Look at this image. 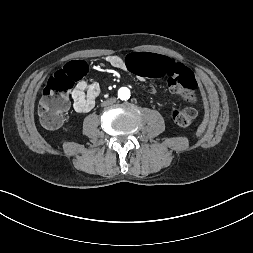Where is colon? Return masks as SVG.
I'll use <instances>...</instances> for the list:
<instances>
[{
	"label": "colon",
	"instance_id": "obj_1",
	"mask_svg": "<svg viewBox=\"0 0 253 253\" xmlns=\"http://www.w3.org/2000/svg\"><path fill=\"white\" fill-rule=\"evenodd\" d=\"M127 67L138 77L167 78L169 87L189 104L173 112L174 122L181 127L194 123L198 115L194 106L197 101V81L190 69L167 55L149 51L131 53L127 58ZM87 71L88 67L84 62L76 61L50 77L38 107L40 121L44 127L53 129L62 123L69 107V93Z\"/></svg>",
	"mask_w": 253,
	"mask_h": 253
}]
</instances>
